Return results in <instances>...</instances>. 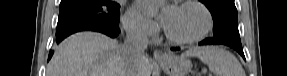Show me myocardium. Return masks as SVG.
Segmentation results:
<instances>
[{"instance_id": "myocardium-1", "label": "myocardium", "mask_w": 287, "mask_h": 76, "mask_svg": "<svg viewBox=\"0 0 287 76\" xmlns=\"http://www.w3.org/2000/svg\"><path fill=\"white\" fill-rule=\"evenodd\" d=\"M185 6H194L198 8L205 17V25L203 29L195 36L189 37V38H178L173 35H171L166 28H164V34L167 40H169L172 43L178 44V45H190L197 42H200L203 40L212 30L213 27V16L208 7L203 4L200 1L197 0H187L182 1L178 4V7H185Z\"/></svg>"}]
</instances>
